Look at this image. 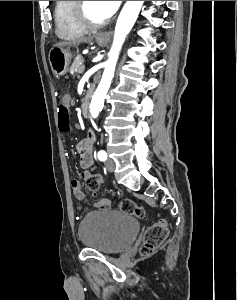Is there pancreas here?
Segmentation results:
<instances>
[{
	"instance_id": "pancreas-1",
	"label": "pancreas",
	"mask_w": 237,
	"mask_h": 300,
	"mask_svg": "<svg viewBox=\"0 0 237 300\" xmlns=\"http://www.w3.org/2000/svg\"><path fill=\"white\" fill-rule=\"evenodd\" d=\"M80 63H84V59L83 57H81V55H77L76 59H74L73 61V65H71V73H80V71L78 70L81 66Z\"/></svg>"
}]
</instances>
